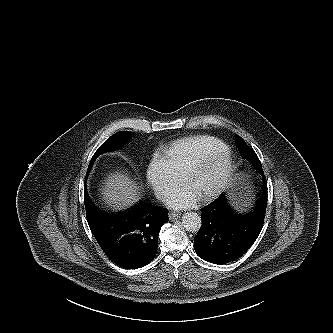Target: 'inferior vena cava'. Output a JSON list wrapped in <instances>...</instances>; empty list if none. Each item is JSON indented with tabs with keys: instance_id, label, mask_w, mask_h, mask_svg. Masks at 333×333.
Returning a JSON list of instances; mask_svg holds the SVG:
<instances>
[{
	"instance_id": "1",
	"label": "inferior vena cava",
	"mask_w": 333,
	"mask_h": 333,
	"mask_svg": "<svg viewBox=\"0 0 333 333\" xmlns=\"http://www.w3.org/2000/svg\"><path fill=\"white\" fill-rule=\"evenodd\" d=\"M158 198H160L162 200H166L167 198H169V196L166 193H159Z\"/></svg>"
}]
</instances>
